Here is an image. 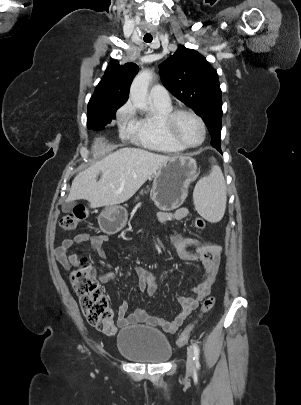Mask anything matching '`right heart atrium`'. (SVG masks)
Returning <instances> with one entry per match:
<instances>
[{
    "label": "right heart atrium",
    "mask_w": 301,
    "mask_h": 405,
    "mask_svg": "<svg viewBox=\"0 0 301 405\" xmlns=\"http://www.w3.org/2000/svg\"><path fill=\"white\" fill-rule=\"evenodd\" d=\"M116 118L121 128L128 129L135 118V111L131 102H126L119 108Z\"/></svg>",
    "instance_id": "right-heart-atrium-1"
}]
</instances>
